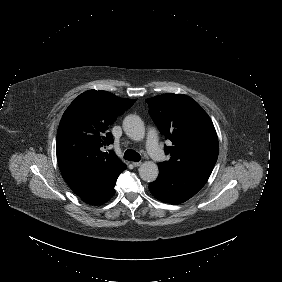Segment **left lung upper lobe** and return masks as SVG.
I'll return each mask as SVG.
<instances>
[{
	"instance_id": "5c2ea615",
	"label": "left lung upper lobe",
	"mask_w": 282,
	"mask_h": 282,
	"mask_svg": "<svg viewBox=\"0 0 282 282\" xmlns=\"http://www.w3.org/2000/svg\"><path fill=\"white\" fill-rule=\"evenodd\" d=\"M161 134L171 141L164 146L168 161L158 164L170 170H213L218 158V138L208 114L192 98L163 94L146 100Z\"/></svg>"
}]
</instances>
